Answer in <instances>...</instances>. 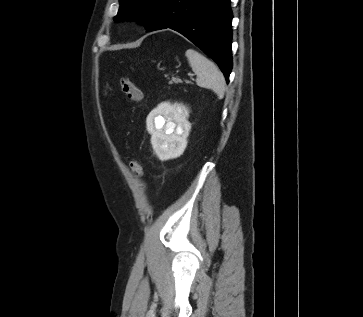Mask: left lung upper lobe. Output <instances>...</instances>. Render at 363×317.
I'll return each mask as SVG.
<instances>
[{
    "label": "left lung upper lobe",
    "instance_id": "left-lung-upper-lobe-1",
    "mask_svg": "<svg viewBox=\"0 0 363 317\" xmlns=\"http://www.w3.org/2000/svg\"><path fill=\"white\" fill-rule=\"evenodd\" d=\"M160 2L161 0H120V8L114 21L138 19L147 29L156 15Z\"/></svg>",
    "mask_w": 363,
    "mask_h": 317
}]
</instances>
